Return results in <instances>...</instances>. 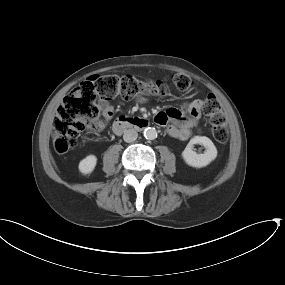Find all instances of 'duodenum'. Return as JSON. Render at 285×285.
Returning <instances> with one entry per match:
<instances>
[{
  "instance_id": "1",
  "label": "duodenum",
  "mask_w": 285,
  "mask_h": 285,
  "mask_svg": "<svg viewBox=\"0 0 285 285\" xmlns=\"http://www.w3.org/2000/svg\"><path fill=\"white\" fill-rule=\"evenodd\" d=\"M149 126V121L144 118L120 117L112 125L115 134H121L127 129L136 131L144 130Z\"/></svg>"
}]
</instances>
